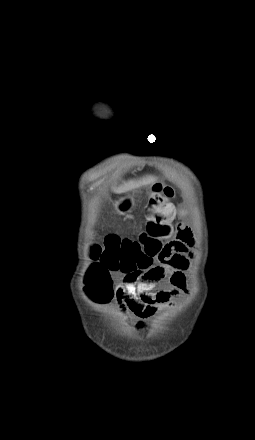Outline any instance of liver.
<instances>
[{
    "mask_svg": "<svg viewBox=\"0 0 255 440\" xmlns=\"http://www.w3.org/2000/svg\"><path fill=\"white\" fill-rule=\"evenodd\" d=\"M155 181H156V177H153V176H148V177L143 178L142 180H139V181H136V180L128 181V182L124 183L123 185H121L117 188H114V192L118 193V194L125 193L130 190L136 189L142 185L154 183Z\"/></svg>",
    "mask_w": 255,
    "mask_h": 440,
    "instance_id": "1",
    "label": "liver"
}]
</instances>
